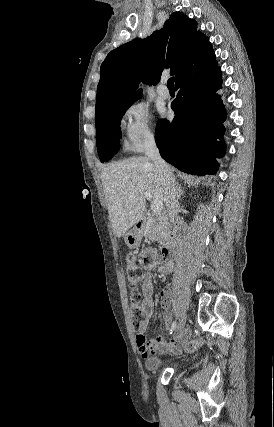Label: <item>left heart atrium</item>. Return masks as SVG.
<instances>
[{"instance_id":"obj_1","label":"left heart atrium","mask_w":274,"mask_h":427,"mask_svg":"<svg viewBox=\"0 0 274 427\" xmlns=\"http://www.w3.org/2000/svg\"><path fill=\"white\" fill-rule=\"evenodd\" d=\"M161 114H162V115H164V114H165V112H164V111H161Z\"/></svg>"}]
</instances>
